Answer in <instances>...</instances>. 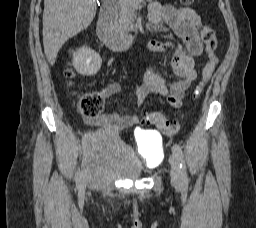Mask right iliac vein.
I'll return each mask as SVG.
<instances>
[{
  "label": "right iliac vein",
  "instance_id": "1",
  "mask_svg": "<svg viewBox=\"0 0 256 228\" xmlns=\"http://www.w3.org/2000/svg\"><path fill=\"white\" fill-rule=\"evenodd\" d=\"M84 147H85V151H84L83 157L87 158L85 160V166L89 167L90 166V154H91V151H90V148H89L90 144L89 143H85ZM89 180H90L89 171H88L87 168H84L82 173H81V182H82V184H85Z\"/></svg>",
  "mask_w": 256,
  "mask_h": 228
}]
</instances>
